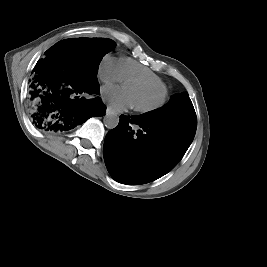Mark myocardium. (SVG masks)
Wrapping results in <instances>:
<instances>
[{
    "label": "myocardium",
    "instance_id": "f54148a6",
    "mask_svg": "<svg viewBox=\"0 0 267 267\" xmlns=\"http://www.w3.org/2000/svg\"><path fill=\"white\" fill-rule=\"evenodd\" d=\"M128 82H139V83L148 84L151 87L158 89L160 91V97L158 98V100L156 102H154L153 104L147 105V106L133 105V109L135 111L141 112V113L152 112V111L160 108L165 103L166 98H167V90L165 88H163V86L161 84L151 82V81H149L145 78H141V77H131V78L126 80V83H128Z\"/></svg>",
    "mask_w": 267,
    "mask_h": 267
}]
</instances>
